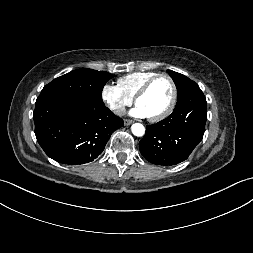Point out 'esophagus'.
<instances>
[{
	"mask_svg": "<svg viewBox=\"0 0 253 253\" xmlns=\"http://www.w3.org/2000/svg\"><path fill=\"white\" fill-rule=\"evenodd\" d=\"M132 123H133V121L130 120V119H125V120H124V125H125V126H128V125H130V124H132Z\"/></svg>",
	"mask_w": 253,
	"mask_h": 253,
	"instance_id": "1",
	"label": "esophagus"
}]
</instances>
